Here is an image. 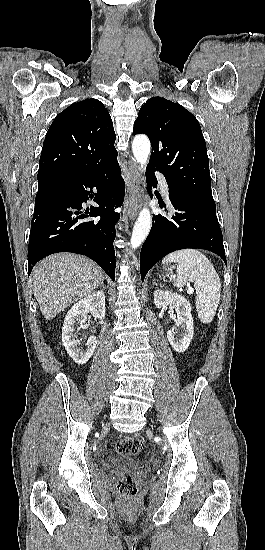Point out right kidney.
I'll return each instance as SVG.
<instances>
[{"mask_svg": "<svg viewBox=\"0 0 265 550\" xmlns=\"http://www.w3.org/2000/svg\"><path fill=\"white\" fill-rule=\"evenodd\" d=\"M88 312L99 319L105 317L106 307L103 291H96L75 303L65 317L62 327V343L69 356L78 365H84L88 362L97 345L96 337L91 336L87 340L86 349L81 350L79 348L81 340L75 339L74 332L76 328L74 325L76 321L80 325L85 323Z\"/></svg>", "mask_w": 265, "mask_h": 550, "instance_id": "ca27d5eb", "label": "right kidney"}]
</instances>
